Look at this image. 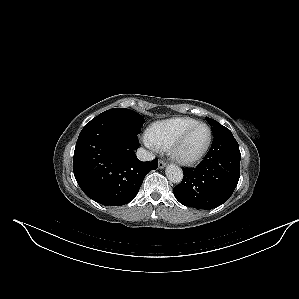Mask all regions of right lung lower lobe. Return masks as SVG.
<instances>
[{"label":"right lung lower lobe","instance_id":"obj_1","mask_svg":"<svg viewBox=\"0 0 299 299\" xmlns=\"http://www.w3.org/2000/svg\"><path fill=\"white\" fill-rule=\"evenodd\" d=\"M137 135L112 118L97 116L84 126L74 151L73 171L89 198L106 206L127 204L149 171L158 168L157 158L142 162L136 157Z\"/></svg>","mask_w":299,"mask_h":299}]
</instances>
